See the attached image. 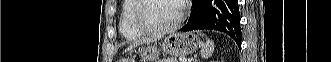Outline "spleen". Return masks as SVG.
I'll return each mask as SVG.
<instances>
[{
    "label": "spleen",
    "instance_id": "obj_1",
    "mask_svg": "<svg viewBox=\"0 0 331 62\" xmlns=\"http://www.w3.org/2000/svg\"><path fill=\"white\" fill-rule=\"evenodd\" d=\"M204 36V34H200ZM201 56L203 58H209L214 52V43L212 40L206 38V43L201 44Z\"/></svg>",
    "mask_w": 331,
    "mask_h": 62
}]
</instances>
